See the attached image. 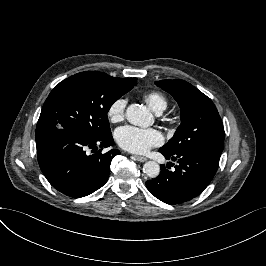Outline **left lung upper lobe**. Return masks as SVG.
<instances>
[{
  "instance_id": "left-lung-upper-lobe-1",
  "label": "left lung upper lobe",
  "mask_w": 266,
  "mask_h": 266,
  "mask_svg": "<svg viewBox=\"0 0 266 266\" xmlns=\"http://www.w3.org/2000/svg\"><path fill=\"white\" fill-rule=\"evenodd\" d=\"M155 84L170 93L181 109V124L162 149L177 153L189 148H206L221 153L224 128L212 100L184 80H160Z\"/></svg>"
}]
</instances>
